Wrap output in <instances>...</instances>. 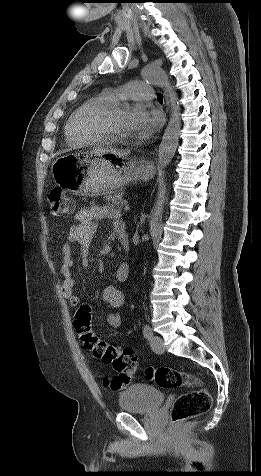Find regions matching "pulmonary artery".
<instances>
[{
  "label": "pulmonary artery",
  "mask_w": 261,
  "mask_h": 476,
  "mask_svg": "<svg viewBox=\"0 0 261 476\" xmlns=\"http://www.w3.org/2000/svg\"><path fill=\"white\" fill-rule=\"evenodd\" d=\"M113 98L134 100H150L153 98L152 87L141 81H131L119 89L109 93Z\"/></svg>",
  "instance_id": "pulmonary-artery-1"
}]
</instances>
